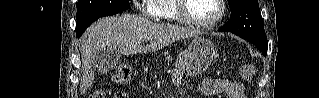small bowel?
I'll use <instances>...</instances> for the list:
<instances>
[{"instance_id":"small-bowel-1","label":"small bowel","mask_w":319,"mask_h":98,"mask_svg":"<svg viewBox=\"0 0 319 98\" xmlns=\"http://www.w3.org/2000/svg\"><path fill=\"white\" fill-rule=\"evenodd\" d=\"M173 82L176 86L181 85V74L177 70L173 74ZM204 90L208 94L225 93L228 98H244L243 85L235 81L208 79L204 84Z\"/></svg>"}]
</instances>
